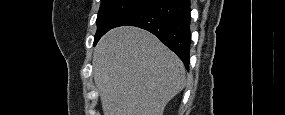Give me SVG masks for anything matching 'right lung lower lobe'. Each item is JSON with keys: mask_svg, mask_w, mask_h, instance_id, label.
I'll use <instances>...</instances> for the list:
<instances>
[{"mask_svg": "<svg viewBox=\"0 0 285 115\" xmlns=\"http://www.w3.org/2000/svg\"><path fill=\"white\" fill-rule=\"evenodd\" d=\"M190 11L189 0H151L122 18L113 28L130 25L153 33L189 69Z\"/></svg>", "mask_w": 285, "mask_h": 115, "instance_id": "98d812e1", "label": "right lung lower lobe"}]
</instances>
